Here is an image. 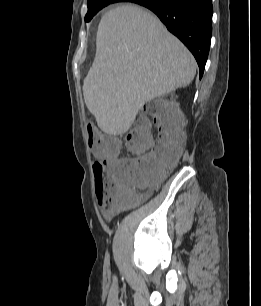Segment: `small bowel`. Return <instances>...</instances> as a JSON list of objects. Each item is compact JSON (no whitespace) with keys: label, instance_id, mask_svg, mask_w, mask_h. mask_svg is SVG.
Listing matches in <instances>:
<instances>
[{"label":"small bowel","instance_id":"small-bowel-1","mask_svg":"<svg viewBox=\"0 0 261 306\" xmlns=\"http://www.w3.org/2000/svg\"><path fill=\"white\" fill-rule=\"evenodd\" d=\"M119 159H123V158H119ZM100 162H101V164H103L104 166H110V165H111V157H106V158L102 159ZM149 194H150L149 192H146V193L143 195V197H147V196H149ZM103 215H104V217H106V218L109 217V214H107V213H104Z\"/></svg>","mask_w":261,"mask_h":306}]
</instances>
